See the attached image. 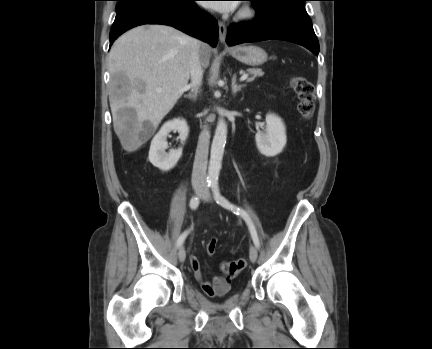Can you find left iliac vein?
Masks as SVG:
<instances>
[{
	"label": "left iliac vein",
	"mask_w": 432,
	"mask_h": 349,
	"mask_svg": "<svg viewBox=\"0 0 432 349\" xmlns=\"http://www.w3.org/2000/svg\"><path fill=\"white\" fill-rule=\"evenodd\" d=\"M202 199L204 201H210L211 200V195H210V192L208 190L204 191V193L202 195ZM249 257H250L251 262H253V263L256 262V260L258 258V251L254 245L250 246Z\"/></svg>",
	"instance_id": "obj_1"
}]
</instances>
